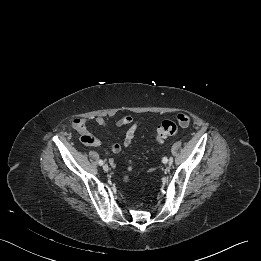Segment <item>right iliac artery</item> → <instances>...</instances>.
Returning <instances> with one entry per match:
<instances>
[{
    "instance_id": "obj_1",
    "label": "right iliac artery",
    "mask_w": 261,
    "mask_h": 261,
    "mask_svg": "<svg viewBox=\"0 0 261 261\" xmlns=\"http://www.w3.org/2000/svg\"><path fill=\"white\" fill-rule=\"evenodd\" d=\"M99 164H100V165H103V164H104V161H103V160H99Z\"/></svg>"
}]
</instances>
